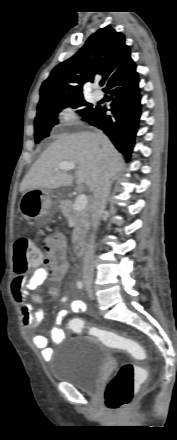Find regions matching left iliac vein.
<instances>
[{"instance_id": "1", "label": "left iliac vein", "mask_w": 177, "mask_h": 440, "mask_svg": "<svg viewBox=\"0 0 177 440\" xmlns=\"http://www.w3.org/2000/svg\"><path fill=\"white\" fill-rule=\"evenodd\" d=\"M87 291H88L89 298L93 299L94 298L93 291H90V290H87Z\"/></svg>"}]
</instances>
